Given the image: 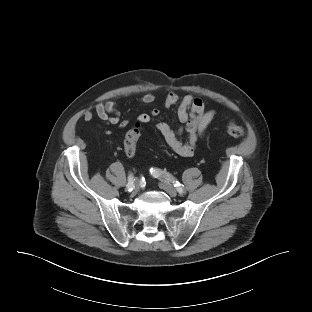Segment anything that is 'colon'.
Masks as SVG:
<instances>
[{"instance_id": "colon-1", "label": "colon", "mask_w": 312, "mask_h": 312, "mask_svg": "<svg viewBox=\"0 0 312 312\" xmlns=\"http://www.w3.org/2000/svg\"><path fill=\"white\" fill-rule=\"evenodd\" d=\"M142 133V126L140 124H135L125 135L124 139V152L128 157H133L136 154V146L139 137ZM226 133L233 138H242L245 136V129L237 125L234 122H229L226 125Z\"/></svg>"}]
</instances>
